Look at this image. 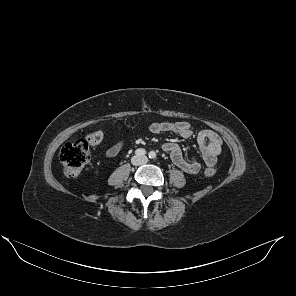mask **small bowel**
<instances>
[{
    "label": "small bowel",
    "mask_w": 296,
    "mask_h": 296,
    "mask_svg": "<svg viewBox=\"0 0 296 296\" xmlns=\"http://www.w3.org/2000/svg\"><path fill=\"white\" fill-rule=\"evenodd\" d=\"M150 131L156 134L174 132L185 139L193 135L191 125L187 121L152 123L150 125ZM197 145L203 162L207 166H213L222 148V140L219 135L209 129L201 130L197 134ZM123 147L124 141H118L106 150L105 156L107 158H114L122 151ZM162 149L170 156L172 162L183 171L190 174H197L201 170L199 160L197 158H185L177 143L171 141L166 142L163 144Z\"/></svg>",
    "instance_id": "obj_1"
}]
</instances>
